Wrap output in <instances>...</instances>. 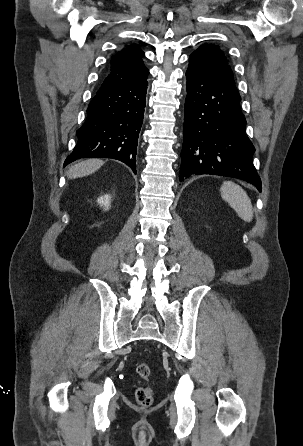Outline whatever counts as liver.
I'll return each instance as SVG.
<instances>
[{"instance_id":"1","label":"liver","mask_w":303,"mask_h":446,"mask_svg":"<svg viewBox=\"0 0 303 446\" xmlns=\"http://www.w3.org/2000/svg\"><path fill=\"white\" fill-rule=\"evenodd\" d=\"M104 164L100 159H87L70 167L68 178L75 179L90 175L97 171Z\"/></svg>"}]
</instances>
